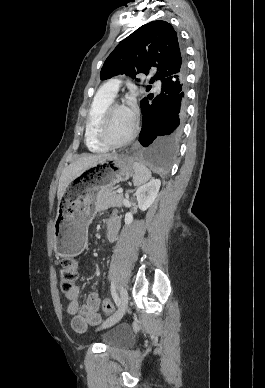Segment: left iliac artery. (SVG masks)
I'll return each mask as SVG.
<instances>
[{
  "mask_svg": "<svg viewBox=\"0 0 265 388\" xmlns=\"http://www.w3.org/2000/svg\"><path fill=\"white\" fill-rule=\"evenodd\" d=\"M111 294L117 306L120 304V299L116 293L114 281L111 283Z\"/></svg>",
  "mask_w": 265,
  "mask_h": 388,
  "instance_id": "left-iliac-artery-1",
  "label": "left iliac artery"
}]
</instances>
